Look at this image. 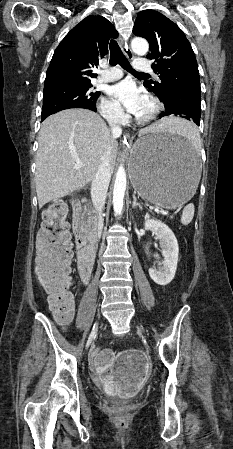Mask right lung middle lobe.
I'll return each instance as SVG.
<instances>
[{"mask_svg": "<svg viewBox=\"0 0 233 449\" xmlns=\"http://www.w3.org/2000/svg\"><path fill=\"white\" fill-rule=\"evenodd\" d=\"M92 84L66 86L43 94L41 118L69 108H87L96 110L99 92H92Z\"/></svg>", "mask_w": 233, "mask_h": 449, "instance_id": "dd1d6c3e", "label": "right lung middle lobe"}]
</instances>
